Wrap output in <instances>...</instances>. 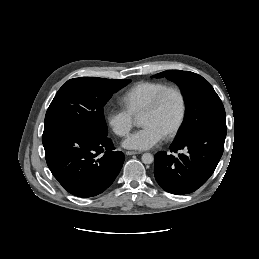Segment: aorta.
Listing matches in <instances>:
<instances>
[{
  "mask_svg": "<svg viewBox=\"0 0 259 259\" xmlns=\"http://www.w3.org/2000/svg\"><path fill=\"white\" fill-rule=\"evenodd\" d=\"M153 161H154V157H153L152 154H150V153H144V154L142 155V162H143L144 164H151Z\"/></svg>",
  "mask_w": 259,
  "mask_h": 259,
  "instance_id": "762f6f07",
  "label": "aorta"
}]
</instances>
